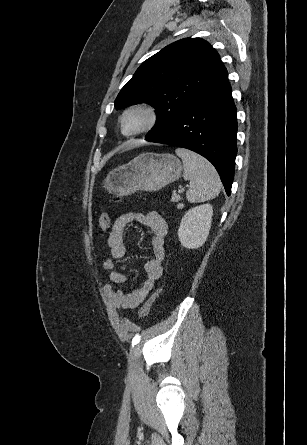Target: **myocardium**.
<instances>
[{
    "mask_svg": "<svg viewBox=\"0 0 307 445\" xmlns=\"http://www.w3.org/2000/svg\"><path fill=\"white\" fill-rule=\"evenodd\" d=\"M133 109H144V110H146L148 112V114H149V122H148V124L144 128H142V129H140V130H138V131H136V132H134L132 134H127V133H125L123 131V122H124V119H125L127 113L129 111L133 110ZM160 120H161V112H160L159 108L155 104H153L151 102H148V101H139V102H136V103H133V104L129 105L124 110V112H123V114L121 116V119H120V132L125 137L138 136V135H141V134H144V133H148V132L154 130L159 125Z\"/></svg>",
    "mask_w": 307,
    "mask_h": 445,
    "instance_id": "myocardium-1",
    "label": "myocardium"
}]
</instances>
